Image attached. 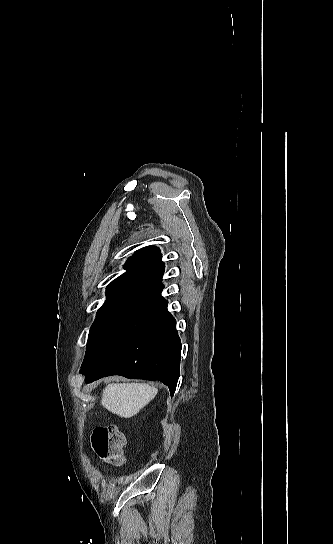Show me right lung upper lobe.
<instances>
[{
  "label": "right lung upper lobe",
  "instance_id": "right-lung-upper-lobe-1",
  "mask_svg": "<svg viewBox=\"0 0 333 544\" xmlns=\"http://www.w3.org/2000/svg\"><path fill=\"white\" fill-rule=\"evenodd\" d=\"M124 268L127 271L107 286L104 304L124 299L166 301L161 296L164 264L158 248L148 246L138 250Z\"/></svg>",
  "mask_w": 333,
  "mask_h": 544
}]
</instances>
